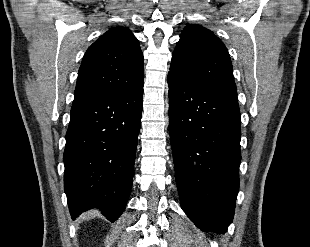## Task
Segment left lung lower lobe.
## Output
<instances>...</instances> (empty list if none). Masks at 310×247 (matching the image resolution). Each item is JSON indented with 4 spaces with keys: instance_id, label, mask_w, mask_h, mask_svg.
<instances>
[{
    "instance_id": "1",
    "label": "left lung lower lobe",
    "mask_w": 310,
    "mask_h": 247,
    "mask_svg": "<svg viewBox=\"0 0 310 247\" xmlns=\"http://www.w3.org/2000/svg\"><path fill=\"white\" fill-rule=\"evenodd\" d=\"M169 130L182 209L205 232L225 233L239 187L237 96L168 74Z\"/></svg>"
}]
</instances>
